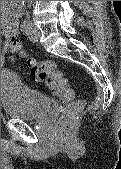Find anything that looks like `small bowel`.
I'll list each match as a JSON object with an SVG mask.
<instances>
[{"label":"small bowel","mask_w":121,"mask_h":169,"mask_svg":"<svg viewBox=\"0 0 121 169\" xmlns=\"http://www.w3.org/2000/svg\"><path fill=\"white\" fill-rule=\"evenodd\" d=\"M1 18V32L5 38L7 31L17 32L18 20L22 12V6L19 1H3ZM4 44H7L6 40ZM2 63L7 61V56H2Z\"/></svg>","instance_id":"c3829d8e"}]
</instances>
